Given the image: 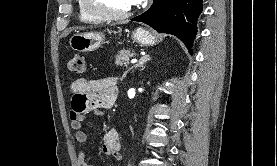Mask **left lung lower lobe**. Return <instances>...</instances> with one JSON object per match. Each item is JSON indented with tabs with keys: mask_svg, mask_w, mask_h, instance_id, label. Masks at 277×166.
I'll return each mask as SVG.
<instances>
[{
	"mask_svg": "<svg viewBox=\"0 0 277 166\" xmlns=\"http://www.w3.org/2000/svg\"><path fill=\"white\" fill-rule=\"evenodd\" d=\"M202 9V0H154L150 9L131 20L146 23L158 32L173 34L191 48Z\"/></svg>",
	"mask_w": 277,
	"mask_h": 166,
	"instance_id": "0a47b994",
	"label": "left lung lower lobe"
}]
</instances>
